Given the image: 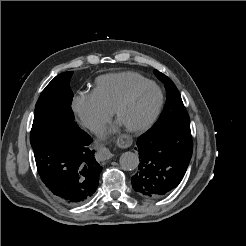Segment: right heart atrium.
Returning <instances> with one entry per match:
<instances>
[{
    "mask_svg": "<svg viewBox=\"0 0 246 246\" xmlns=\"http://www.w3.org/2000/svg\"><path fill=\"white\" fill-rule=\"evenodd\" d=\"M72 109L77 119L93 132H99L111 116V111L101 106L89 92L76 95L72 102Z\"/></svg>",
    "mask_w": 246,
    "mask_h": 246,
    "instance_id": "d8ad5b80",
    "label": "right heart atrium"
}]
</instances>
